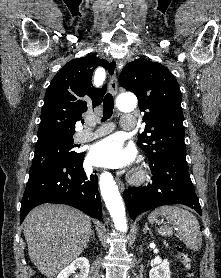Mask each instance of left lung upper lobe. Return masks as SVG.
Wrapping results in <instances>:
<instances>
[{
  "mask_svg": "<svg viewBox=\"0 0 221 278\" xmlns=\"http://www.w3.org/2000/svg\"><path fill=\"white\" fill-rule=\"evenodd\" d=\"M119 84L136 94L144 112L146 127L137 145L148 156L149 165L168 156H185L181 92L172 73L160 63L137 59L122 70Z\"/></svg>",
  "mask_w": 221,
  "mask_h": 278,
  "instance_id": "5c2ea615",
  "label": "left lung upper lobe"
}]
</instances>
